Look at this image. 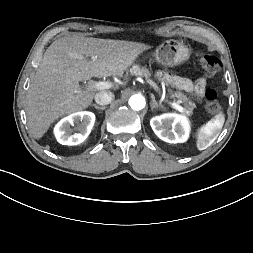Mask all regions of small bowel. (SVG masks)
<instances>
[{"instance_id": "small-bowel-1", "label": "small bowel", "mask_w": 253, "mask_h": 253, "mask_svg": "<svg viewBox=\"0 0 253 253\" xmlns=\"http://www.w3.org/2000/svg\"><path fill=\"white\" fill-rule=\"evenodd\" d=\"M175 83L178 87L189 92H194L197 96H201L206 88V81L203 78H199L195 82L185 78H179L175 80Z\"/></svg>"}]
</instances>
